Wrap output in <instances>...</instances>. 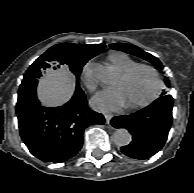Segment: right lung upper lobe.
Instances as JSON below:
<instances>
[{
  "label": "right lung upper lobe",
  "mask_w": 194,
  "mask_h": 193,
  "mask_svg": "<svg viewBox=\"0 0 194 193\" xmlns=\"http://www.w3.org/2000/svg\"><path fill=\"white\" fill-rule=\"evenodd\" d=\"M104 47V44L62 43L54 45L29 67L28 71L33 74L30 77V82L37 83V79L48 68L57 70L62 67L66 68L68 64L78 61L86 63L89 59L98 55Z\"/></svg>",
  "instance_id": "right-lung-upper-lobe-1"
}]
</instances>
